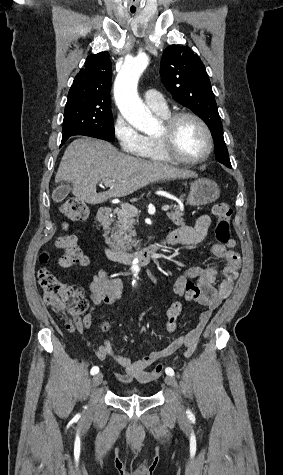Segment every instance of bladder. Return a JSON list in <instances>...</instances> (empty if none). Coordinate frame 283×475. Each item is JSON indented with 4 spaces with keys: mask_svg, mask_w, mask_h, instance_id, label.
<instances>
[{
    "mask_svg": "<svg viewBox=\"0 0 283 475\" xmlns=\"http://www.w3.org/2000/svg\"><path fill=\"white\" fill-rule=\"evenodd\" d=\"M124 395L126 397H141V398L144 397L143 392L138 388L127 389L125 390Z\"/></svg>",
    "mask_w": 283,
    "mask_h": 475,
    "instance_id": "obj_1",
    "label": "bladder"
}]
</instances>
